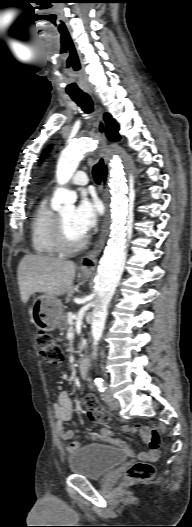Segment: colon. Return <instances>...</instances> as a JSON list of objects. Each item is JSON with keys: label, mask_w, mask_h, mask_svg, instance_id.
Listing matches in <instances>:
<instances>
[{"label": "colon", "mask_w": 192, "mask_h": 527, "mask_svg": "<svg viewBox=\"0 0 192 527\" xmlns=\"http://www.w3.org/2000/svg\"><path fill=\"white\" fill-rule=\"evenodd\" d=\"M35 341L43 359L53 366H61L63 363V352L54 338L47 332L39 330L35 334ZM86 412L90 421L105 425L109 422L108 412L99 404L93 395H88L85 401ZM147 436L150 449L156 450L161 444V436L156 428L148 429ZM127 476L131 480L145 481L151 480L155 476V467L150 464L142 465L139 462L132 465L127 470Z\"/></svg>", "instance_id": "colon-1"}]
</instances>
